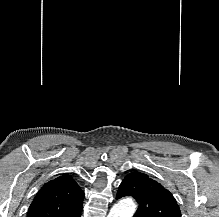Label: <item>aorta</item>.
Listing matches in <instances>:
<instances>
[{
	"instance_id": "obj_1",
	"label": "aorta",
	"mask_w": 219,
	"mask_h": 217,
	"mask_svg": "<svg viewBox=\"0 0 219 217\" xmlns=\"http://www.w3.org/2000/svg\"><path fill=\"white\" fill-rule=\"evenodd\" d=\"M135 210L136 204L132 199H123L112 207L108 217H132Z\"/></svg>"
}]
</instances>
